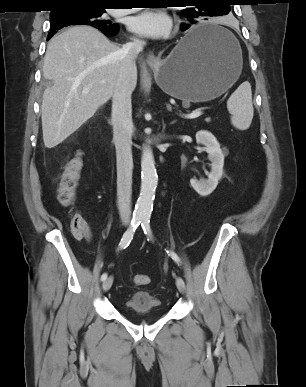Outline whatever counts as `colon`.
<instances>
[{
  "label": "colon",
  "instance_id": "5ec220e1",
  "mask_svg": "<svg viewBox=\"0 0 306 387\" xmlns=\"http://www.w3.org/2000/svg\"><path fill=\"white\" fill-rule=\"evenodd\" d=\"M83 167L81 153H77L70 159L57 182V199L64 207L73 205L76 197V188ZM71 233L76 238H83L89 233V222L81 214H74L70 222ZM131 281L136 286H144L150 283V277L144 274H135Z\"/></svg>",
  "mask_w": 306,
  "mask_h": 387
}]
</instances>
